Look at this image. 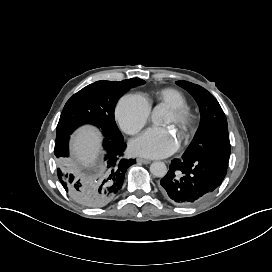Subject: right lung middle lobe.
<instances>
[{
	"mask_svg": "<svg viewBox=\"0 0 272 272\" xmlns=\"http://www.w3.org/2000/svg\"><path fill=\"white\" fill-rule=\"evenodd\" d=\"M139 78L117 81H97L76 94L65 104L57 129L56 141L69 136L83 124H93L111 140L122 138L114 118L118 99L129 88L144 84Z\"/></svg>",
	"mask_w": 272,
	"mask_h": 272,
	"instance_id": "obj_1",
	"label": "right lung middle lobe"
}]
</instances>
